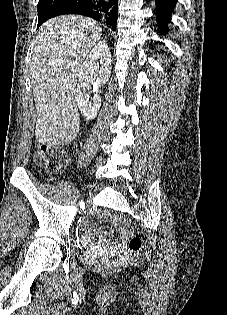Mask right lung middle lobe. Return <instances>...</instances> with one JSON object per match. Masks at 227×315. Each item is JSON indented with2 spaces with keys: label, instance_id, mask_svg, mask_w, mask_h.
<instances>
[{
  "label": "right lung middle lobe",
  "instance_id": "dd1d6c3e",
  "mask_svg": "<svg viewBox=\"0 0 227 315\" xmlns=\"http://www.w3.org/2000/svg\"><path fill=\"white\" fill-rule=\"evenodd\" d=\"M63 0H39L38 11V27L51 18L50 12L55 9Z\"/></svg>",
  "mask_w": 227,
  "mask_h": 315
}]
</instances>
